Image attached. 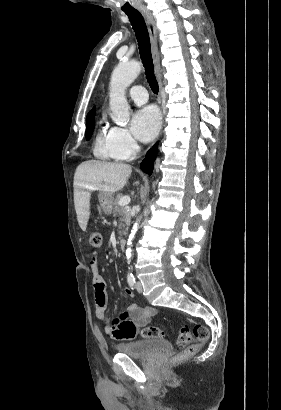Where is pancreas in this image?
<instances>
[{
    "label": "pancreas",
    "mask_w": 281,
    "mask_h": 410,
    "mask_svg": "<svg viewBox=\"0 0 281 410\" xmlns=\"http://www.w3.org/2000/svg\"><path fill=\"white\" fill-rule=\"evenodd\" d=\"M121 197L122 195L118 194L113 202V214L115 216H118L119 218L118 222H119V233L120 234L126 232L127 227L130 225V222H131V214L128 208L125 206L119 205V200Z\"/></svg>",
    "instance_id": "1"
}]
</instances>
